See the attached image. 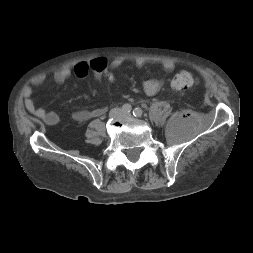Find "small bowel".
I'll return each mask as SVG.
<instances>
[{"label":"small bowel","mask_w":253,"mask_h":253,"mask_svg":"<svg viewBox=\"0 0 253 253\" xmlns=\"http://www.w3.org/2000/svg\"><path fill=\"white\" fill-rule=\"evenodd\" d=\"M124 64L123 58H114L108 61V68L110 71L120 68ZM135 65L138 68H141L145 65V61L142 59H137L135 61ZM175 65L171 61H166L162 63V69L166 73H170L174 70ZM90 70V66L88 62L82 61L78 62L74 65L73 69L63 68L54 73V81L58 84L64 83L71 75L74 73L78 78H84ZM45 77L38 76L33 80V85L40 86L44 83ZM164 82L158 78H149L143 83V88L146 94L154 95L156 94ZM32 89L30 87L25 88L24 94V104L27 111L44 122L48 126L56 125L59 122V114L56 111L46 110L43 107H37L32 98ZM106 113V108L98 107L94 109H81L77 110L72 114V118L74 121L78 123H83L89 121L92 118L101 117Z\"/></svg>","instance_id":"1"}]
</instances>
